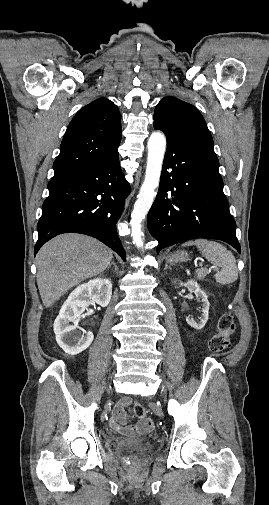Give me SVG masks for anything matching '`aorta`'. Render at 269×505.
<instances>
[{
	"label": "aorta",
	"instance_id": "1",
	"mask_svg": "<svg viewBox=\"0 0 269 505\" xmlns=\"http://www.w3.org/2000/svg\"><path fill=\"white\" fill-rule=\"evenodd\" d=\"M148 157L146 173L140 188L137 199L131 213V236L133 243L138 247H143V232L141 223L148 214L156 196V189L159 186L160 175L164 154L166 150V138L163 133L153 132L148 140Z\"/></svg>",
	"mask_w": 269,
	"mask_h": 505
}]
</instances>
